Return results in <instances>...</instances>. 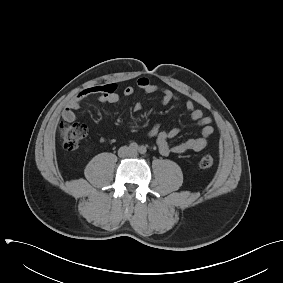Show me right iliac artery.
<instances>
[{"label": "right iliac artery", "instance_id": "82829eb1", "mask_svg": "<svg viewBox=\"0 0 283 283\" xmlns=\"http://www.w3.org/2000/svg\"><path fill=\"white\" fill-rule=\"evenodd\" d=\"M129 147L133 151H136L139 148L138 144L135 142H132Z\"/></svg>", "mask_w": 283, "mask_h": 283}]
</instances>
